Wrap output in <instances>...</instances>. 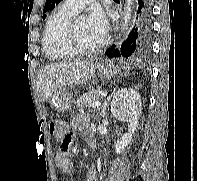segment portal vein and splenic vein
<instances>
[{
	"label": "portal vein and splenic vein",
	"instance_id": "portal-vein-and-splenic-vein-1",
	"mask_svg": "<svg viewBox=\"0 0 197 181\" xmlns=\"http://www.w3.org/2000/svg\"><path fill=\"white\" fill-rule=\"evenodd\" d=\"M101 105V102L100 101H96V102H94L93 104H92V108H97V107H99Z\"/></svg>",
	"mask_w": 197,
	"mask_h": 181
}]
</instances>
